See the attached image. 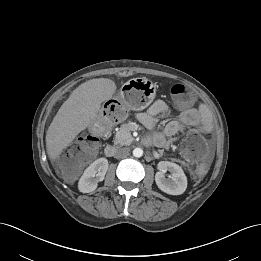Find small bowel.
Returning <instances> with one entry per match:
<instances>
[{"instance_id":"1","label":"small bowel","mask_w":261,"mask_h":261,"mask_svg":"<svg viewBox=\"0 0 261 261\" xmlns=\"http://www.w3.org/2000/svg\"><path fill=\"white\" fill-rule=\"evenodd\" d=\"M170 114V108L163 100H156L144 112L137 115L138 120L148 129H154L158 124L159 117ZM213 130L211 115L205 107L189 108L184 110L179 120L168 122L161 132L152 137L153 143L162 148H168L170 139L180 133L200 132L210 134Z\"/></svg>"}]
</instances>
